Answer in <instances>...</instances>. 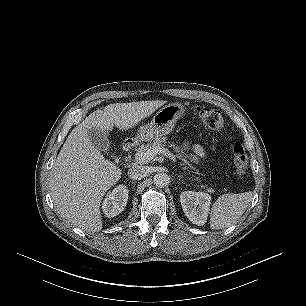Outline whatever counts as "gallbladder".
Segmentation results:
<instances>
[{"label": "gallbladder", "instance_id": "obj_1", "mask_svg": "<svg viewBox=\"0 0 306 306\" xmlns=\"http://www.w3.org/2000/svg\"><path fill=\"white\" fill-rule=\"evenodd\" d=\"M89 136L95 148L97 149L105 148L106 149L109 146V139L105 132L97 128H92L89 131Z\"/></svg>", "mask_w": 306, "mask_h": 306}]
</instances>
